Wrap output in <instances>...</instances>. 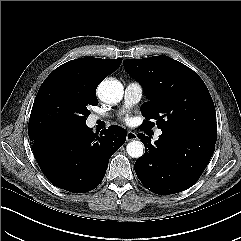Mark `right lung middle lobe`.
Segmentation results:
<instances>
[{"instance_id": "dd1d6c3e", "label": "right lung middle lobe", "mask_w": 241, "mask_h": 241, "mask_svg": "<svg viewBox=\"0 0 241 241\" xmlns=\"http://www.w3.org/2000/svg\"><path fill=\"white\" fill-rule=\"evenodd\" d=\"M97 104V98L86 97L65 80L42 84L29 119V137L85 126L90 114L87 107Z\"/></svg>"}]
</instances>
